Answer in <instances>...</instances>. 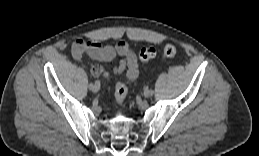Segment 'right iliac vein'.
Wrapping results in <instances>:
<instances>
[{
	"label": "right iliac vein",
	"mask_w": 259,
	"mask_h": 156,
	"mask_svg": "<svg viewBox=\"0 0 259 156\" xmlns=\"http://www.w3.org/2000/svg\"><path fill=\"white\" fill-rule=\"evenodd\" d=\"M99 88H100V86L95 83V84H92L91 90H92L93 92H98Z\"/></svg>",
	"instance_id": "63e3f726"
}]
</instances>
